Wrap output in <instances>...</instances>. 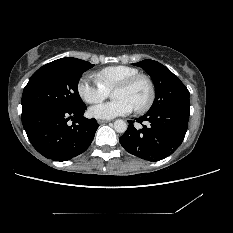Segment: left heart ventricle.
<instances>
[{
  "instance_id": "obj_1",
  "label": "left heart ventricle",
  "mask_w": 233,
  "mask_h": 233,
  "mask_svg": "<svg viewBox=\"0 0 233 233\" xmlns=\"http://www.w3.org/2000/svg\"><path fill=\"white\" fill-rule=\"evenodd\" d=\"M148 96V86L145 81L139 80L128 89H115L112 92V98L125 99L133 107L138 108L144 104Z\"/></svg>"
}]
</instances>
